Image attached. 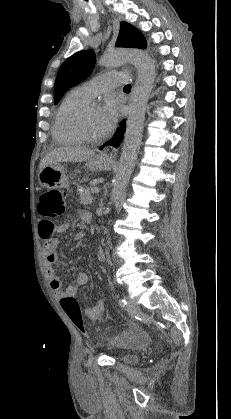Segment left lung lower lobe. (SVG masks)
I'll use <instances>...</instances> for the list:
<instances>
[{"label": "left lung lower lobe", "mask_w": 231, "mask_h": 419, "mask_svg": "<svg viewBox=\"0 0 231 419\" xmlns=\"http://www.w3.org/2000/svg\"><path fill=\"white\" fill-rule=\"evenodd\" d=\"M124 130H125V122L123 121V122H121V127L118 128L114 137L109 142H107L105 145H112V146L117 147L123 139ZM102 148H103V146L100 147V149H102Z\"/></svg>", "instance_id": "left-lung-lower-lobe-1"}]
</instances>
